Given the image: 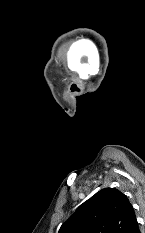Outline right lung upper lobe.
I'll list each match as a JSON object with an SVG mask.
<instances>
[{
    "instance_id": "obj_1",
    "label": "right lung upper lobe",
    "mask_w": 145,
    "mask_h": 233,
    "mask_svg": "<svg viewBox=\"0 0 145 233\" xmlns=\"http://www.w3.org/2000/svg\"><path fill=\"white\" fill-rule=\"evenodd\" d=\"M137 224L128 198L115 188H104L77 208L59 233H131Z\"/></svg>"
}]
</instances>
